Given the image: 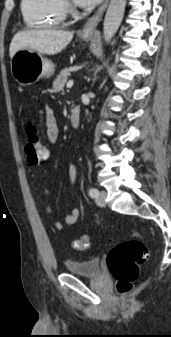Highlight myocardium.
Listing matches in <instances>:
<instances>
[{
  "label": "myocardium",
  "mask_w": 171,
  "mask_h": 337,
  "mask_svg": "<svg viewBox=\"0 0 171 337\" xmlns=\"http://www.w3.org/2000/svg\"><path fill=\"white\" fill-rule=\"evenodd\" d=\"M63 1V4H64V6H65V4H66V0H62Z\"/></svg>",
  "instance_id": "f54148a6"
}]
</instances>
